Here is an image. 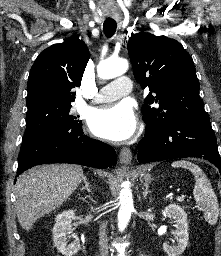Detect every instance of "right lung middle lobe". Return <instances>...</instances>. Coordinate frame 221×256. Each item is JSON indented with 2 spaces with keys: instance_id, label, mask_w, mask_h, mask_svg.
<instances>
[{
  "instance_id": "1",
  "label": "right lung middle lobe",
  "mask_w": 221,
  "mask_h": 256,
  "mask_svg": "<svg viewBox=\"0 0 221 256\" xmlns=\"http://www.w3.org/2000/svg\"><path fill=\"white\" fill-rule=\"evenodd\" d=\"M70 108L71 105H44L28 110L26 130L22 140H27L33 135L48 128L81 123V121L70 114Z\"/></svg>"
}]
</instances>
